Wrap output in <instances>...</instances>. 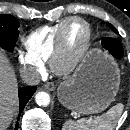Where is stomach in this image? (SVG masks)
Masks as SVG:
<instances>
[{
    "label": "stomach",
    "instance_id": "1",
    "mask_svg": "<svg viewBox=\"0 0 130 130\" xmlns=\"http://www.w3.org/2000/svg\"><path fill=\"white\" fill-rule=\"evenodd\" d=\"M120 71L107 53L92 49L73 77L59 85V101L79 114H94L105 110L119 90Z\"/></svg>",
    "mask_w": 130,
    "mask_h": 130
}]
</instances>
